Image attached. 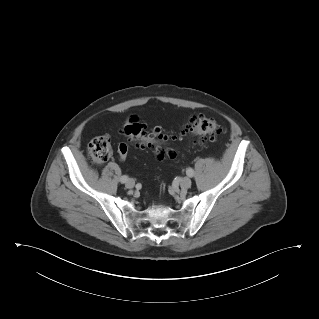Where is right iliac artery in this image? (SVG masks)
Wrapping results in <instances>:
<instances>
[{"label":"right iliac artery","instance_id":"right-iliac-artery-1","mask_svg":"<svg viewBox=\"0 0 319 319\" xmlns=\"http://www.w3.org/2000/svg\"><path fill=\"white\" fill-rule=\"evenodd\" d=\"M127 180H128V176H126V175H123V176L120 178L121 183H126Z\"/></svg>","mask_w":319,"mask_h":319}]
</instances>
